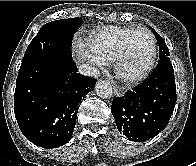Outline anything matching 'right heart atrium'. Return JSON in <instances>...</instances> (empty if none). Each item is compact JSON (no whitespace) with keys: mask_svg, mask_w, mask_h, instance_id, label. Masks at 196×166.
<instances>
[{"mask_svg":"<svg viewBox=\"0 0 196 166\" xmlns=\"http://www.w3.org/2000/svg\"><path fill=\"white\" fill-rule=\"evenodd\" d=\"M73 51L78 59L86 63H89L96 68H102L106 64V62L98 56H96L90 50L87 43H84L83 41H75L73 44Z\"/></svg>","mask_w":196,"mask_h":166,"instance_id":"obj_1","label":"right heart atrium"}]
</instances>
